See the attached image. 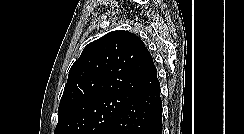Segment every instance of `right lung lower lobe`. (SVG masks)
Returning <instances> with one entry per match:
<instances>
[{
  "label": "right lung lower lobe",
  "instance_id": "98d812e1",
  "mask_svg": "<svg viewBox=\"0 0 244 134\" xmlns=\"http://www.w3.org/2000/svg\"><path fill=\"white\" fill-rule=\"evenodd\" d=\"M101 134H162L160 84L133 96Z\"/></svg>",
  "mask_w": 244,
  "mask_h": 134
}]
</instances>
